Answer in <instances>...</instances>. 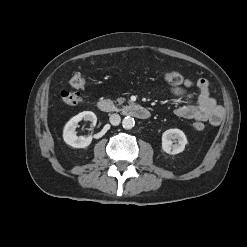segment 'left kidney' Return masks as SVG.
Wrapping results in <instances>:
<instances>
[{
    "instance_id": "left-kidney-1",
    "label": "left kidney",
    "mask_w": 247,
    "mask_h": 247,
    "mask_svg": "<svg viewBox=\"0 0 247 247\" xmlns=\"http://www.w3.org/2000/svg\"><path fill=\"white\" fill-rule=\"evenodd\" d=\"M187 142L186 135L182 130L169 129L162 135V150L167 154L175 155L185 149Z\"/></svg>"
}]
</instances>
